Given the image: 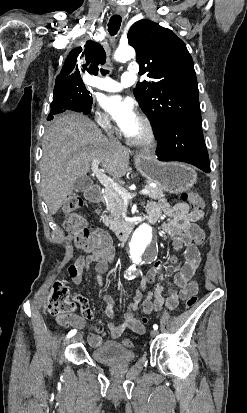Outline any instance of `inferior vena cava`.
<instances>
[{
    "label": "inferior vena cava",
    "mask_w": 247,
    "mask_h": 413,
    "mask_svg": "<svg viewBox=\"0 0 247 413\" xmlns=\"http://www.w3.org/2000/svg\"><path fill=\"white\" fill-rule=\"evenodd\" d=\"M109 140H111V142H119L115 136H109Z\"/></svg>",
    "instance_id": "obj_1"
}]
</instances>
